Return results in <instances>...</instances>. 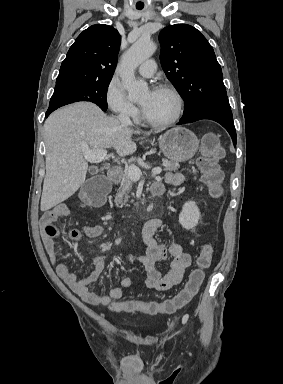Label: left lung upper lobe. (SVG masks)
Listing matches in <instances>:
<instances>
[{"instance_id":"obj_1","label":"left lung upper lobe","mask_w":283,"mask_h":384,"mask_svg":"<svg viewBox=\"0 0 283 384\" xmlns=\"http://www.w3.org/2000/svg\"><path fill=\"white\" fill-rule=\"evenodd\" d=\"M159 41L162 68L185 101L180 120L231 110L221 67L200 31L187 24L170 25L160 32Z\"/></svg>"}]
</instances>
